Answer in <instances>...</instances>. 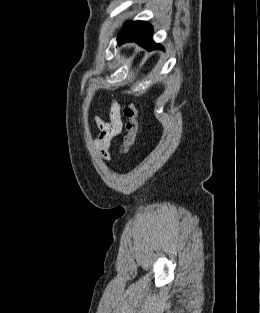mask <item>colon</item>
Returning <instances> with one entry per match:
<instances>
[{"label":"colon","instance_id":"obj_1","mask_svg":"<svg viewBox=\"0 0 260 313\" xmlns=\"http://www.w3.org/2000/svg\"><path fill=\"white\" fill-rule=\"evenodd\" d=\"M124 119V136L121 140V151L126 153L134 145L140 131L138 108L133 102L127 104L122 111Z\"/></svg>","mask_w":260,"mask_h":313}]
</instances>
